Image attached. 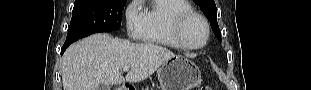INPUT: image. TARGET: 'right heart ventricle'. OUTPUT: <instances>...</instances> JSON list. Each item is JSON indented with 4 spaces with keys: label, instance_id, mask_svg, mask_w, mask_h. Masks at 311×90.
Instances as JSON below:
<instances>
[{
    "label": "right heart ventricle",
    "instance_id": "1",
    "mask_svg": "<svg viewBox=\"0 0 311 90\" xmlns=\"http://www.w3.org/2000/svg\"><path fill=\"white\" fill-rule=\"evenodd\" d=\"M192 10L191 3L186 0L152 1L143 11L141 39L146 43L181 49L173 33L174 20L179 14Z\"/></svg>",
    "mask_w": 311,
    "mask_h": 90
}]
</instances>
